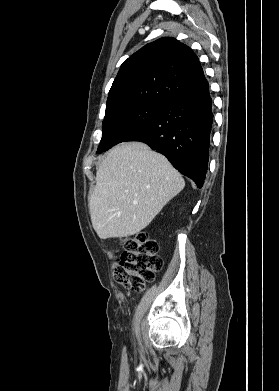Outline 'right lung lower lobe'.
<instances>
[{"label": "right lung lower lobe", "mask_w": 279, "mask_h": 391, "mask_svg": "<svg viewBox=\"0 0 279 391\" xmlns=\"http://www.w3.org/2000/svg\"><path fill=\"white\" fill-rule=\"evenodd\" d=\"M213 123L209 84L201 82L163 104L155 118L125 141H141L164 154L183 175L203 186Z\"/></svg>", "instance_id": "obj_1"}]
</instances>
